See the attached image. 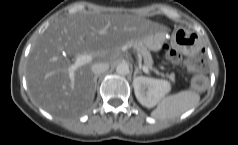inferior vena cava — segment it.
<instances>
[{
	"label": "inferior vena cava",
	"instance_id": "inferior-vena-cava-1",
	"mask_svg": "<svg viewBox=\"0 0 238 145\" xmlns=\"http://www.w3.org/2000/svg\"><path fill=\"white\" fill-rule=\"evenodd\" d=\"M109 69L108 63H95L92 65L91 70L95 76H99L101 73Z\"/></svg>",
	"mask_w": 238,
	"mask_h": 145
}]
</instances>
